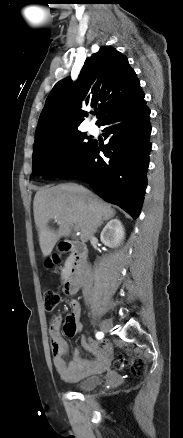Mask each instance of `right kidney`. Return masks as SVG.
<instances>
[{
    "label": "right kidney",
    "mask_w": 183,
    "mask_h": 438,
    "mask_svg": "<svg viewBox=\"0 0 183 438\" xmlns=\"http://www.w3.org/2000/svg\"><path fill=\"white\" fill-rule=\"evenodd\" d=\"M124 228L119 219H113L103 228L100 239L101 242L109 247H117L124 239Z\"/></svg>",
    "instance_id": "ca27d5eb"
}]
</instances>
